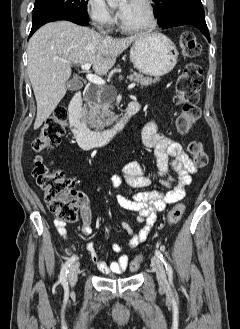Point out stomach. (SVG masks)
Here are the masks:
<instances>
[{
    "mask_svg": "<svg viewBox=\"0 0 240 329\" xmlns=\"http://www.w3.org/2000/svg\"><path fill=\"white\" fill-rule=\"evenodd\" d=\"M178 51L174 43L162 33L140 35L130 50L134 67L143 74L163 76L176 65Z\"/></svg>",
    "mask_w": 240,
    "mask_h": 329,
    "instance_id": "stomach-1",
    "label": "stomach"
}]
</instances>
